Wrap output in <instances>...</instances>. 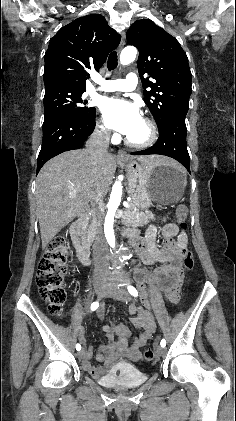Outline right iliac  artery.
<instances>
[{
  "instance_id": "1",
  "label": "right iliac artery",
  "mask_w": 236,
  "mask_h": 421,
  "mask_svg": "<svg viewBox=\"0 0 236 421\" xmlns=\"http://www.w3.org/2000/svg\"><path fill=\"white\" fill-rule=\"evenodd\" d=\"M99 307V303L98 302H93L91 304V310L95 311L97 308ZM76 350L80 351L81 350V345L80 344H76Z\"/></svg>"
}]
</instances>
